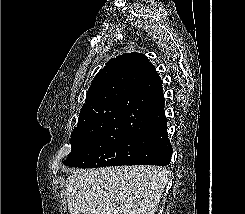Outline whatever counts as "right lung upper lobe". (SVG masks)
I'll list each match as a JSON object with an SVG mask.
<instances>
[{
    "instance_id": "cb5924a9",
    "label": "right lung upper lobe",
    "mask_w": 245,
    "mask_h": 214,
    "mask_svg": "<svg viewBox=\"0 0 245 214\" xmlns=\"http://www.w3.org/2000/svg\"><path fill=\"white\" fill-rule=\"evenodd\" d=\"M161 89L162 81L145 55L125 53L110 59L93 79L72 134L131 127L140 115V99Z\"/></svg>"
}]
</instances>
